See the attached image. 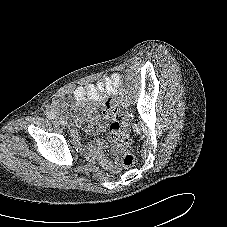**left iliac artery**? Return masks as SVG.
<instances>
[{"instance_id": "44dca946", "label": "left iliac artery", "mask_w": 227, "mask_h": 227, "mask_svg": "<svg viewBox=\"0 0 227 227\" xmlns=\"http://www.w3.org/2000/svg\"><path fill=\"white\" fill-rule=\"evenodd\" d=\"M119 94H120L121 96H124V95H125V92H124V89H123V88H120V89H119Z\"/></svg>"}]
</instances>
